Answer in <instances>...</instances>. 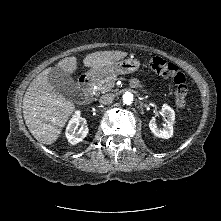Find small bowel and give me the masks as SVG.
Instances as JSON below:
<instances>
[{"mask_svg":"<svg viewBox=\"0 0 221 221\" xmlns=\"http://www.w3.org/2000/svg\"><path fill=\"white\" fill-rule=\"evenodd\" d=\"M132 83H133V85H137L138 84V82L136 80H134Z\"/></svg>","mask_w":221,"mask_h":221,"instance_id":"obj_1","label":"small bowel"}]
</instances>
